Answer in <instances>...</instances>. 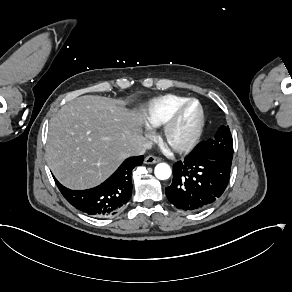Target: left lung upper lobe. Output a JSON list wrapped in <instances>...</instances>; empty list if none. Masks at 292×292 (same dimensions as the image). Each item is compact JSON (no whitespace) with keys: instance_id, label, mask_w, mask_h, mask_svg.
I'll return each mask as SVG.
<instances>
[{"instance_id":"5c2ea615","label":"left lung upper lobe","mask_w":292,"mask_h":292,"mask_svg":"<svg viewBox=\"0 0 292 292\" xmlns=\"http://www.w3.org/2000/svg\"><path fill=\"white\" fill-rule=\"evenodd\" d=\"M196 152L201 156L233 158V140L228 126H221L212 139L197 145Z\"/></svg>"}]
</instances>
